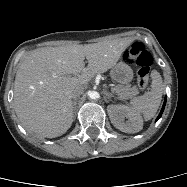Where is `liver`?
<instances>
[{
  "mask_svg": "<svg viewBox=\"0 0 187 187\" xmlns=\"http://www.w3.org/2000/svg\"><path fill=\"white\" fill-rule=\"evenodd\" d=\"M131 43L123 38L48 47L24 56L16 73L13 98L22 125L43 137L64 134L73 122L71 91L115 66Z\"/></svg>",
  "mask_w": 187,
  "mask_h": 187,
  "instance_id": "6515ba94",
  "label": "liver"
}]
</instances>
